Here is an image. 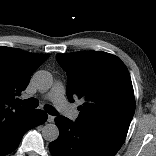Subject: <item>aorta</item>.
<instances>
[{
  "label": "aorta",
  "instance_id": "aorta-1",
  "mask_svg": "<svg viewBox=\"0 0 156 156\" xmlns=\"http://www.w3.org/2000/svg\"><path fill=\"white\" fill-rule=\"evenodd\" d=\"M33 81L38 89L47 90L52 86L53 79L50 72L39 70L34 73ZM42 136L46 141L53 142L59 136V129L54 123H49L43 126Z\"/></svg>",
  "mask_w": 156,
  "mask_h": 156
}]
</instances>
